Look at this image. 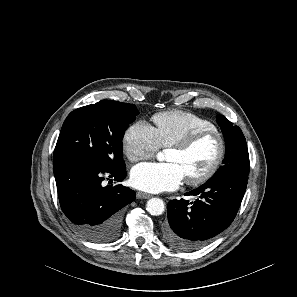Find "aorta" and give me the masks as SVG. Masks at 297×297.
Instances as JSON below:
<instances>
[{
  "instance_id": "762f6f07",
  "label": "aorta",
  "mask_w": 297,
  "mask_h": 297,
  "mask_svg": "<svg viewBox=\"0 0 297 297\" xmlns=\"http://www.w3.org/2000/svg\"><path fill=\"white\" fill-rule=\"evenodd\" d=\"M161 154L158 155L160 159ZM146 210L153 216L161 215L165 210V205L160 198H151L147 201Z\"/></svg>"
}]
</instances>
